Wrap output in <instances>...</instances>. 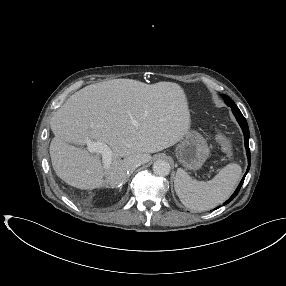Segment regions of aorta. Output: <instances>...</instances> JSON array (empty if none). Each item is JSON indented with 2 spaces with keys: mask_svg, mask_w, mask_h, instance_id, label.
Masks as SVG:
<instances>
[{
  "mask_svg": "<svg viewBox=\"0 0 286 286\" xmlns=\"http://www.w3.org/2000/svg\"><path fill=\"white\" fill-rule=\"evenodd\" d=\"M153 171L158 176H167L171 171V167L167 161L157 160L153 164Z\"/></svg>",
  "mask_w": 286,
  "mask_h": 286,
  "instance_id": "aorta-1",
  "label": "aorta"
}]
</instances>
